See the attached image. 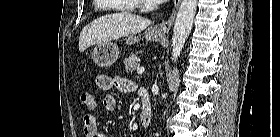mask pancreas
<instances>
[{
  "label": "pancreas",
  "mask_w": 280,
  "mask_h": 137,
  "mask_svg": "<svg viewBox=\"0 0 280 137\" xmlns=\"http://www.w3.org/2000/svg\"><path fill=\"white\" fill-rule=\"evenodd\" d=\"M124 63L127 72L133 71L140 66L137 54H132L129 57L125 58Z\"/></svg>",
  "instance_id": "obj_1"
}]
</instances>
